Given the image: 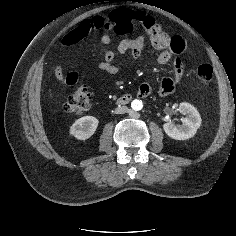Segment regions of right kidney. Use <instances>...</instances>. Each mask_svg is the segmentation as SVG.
Segmentation results:
<instances>
[{
  "label": "right kidney",
  "mask_w": 236,
  "mask_h": 236,
  "mask_svg": "<svg viewBox=\"0 0 236 236\" xmlns=\"http://www.w3.org/2000/svg\"><path fill=\"white\" fill-rule=\"evenodd\" d=\"M98 119L93 116H84L76 120L70 127V134L78 140L90 138L98 127Z\"/></svg>",
  "instance_id": "1"
}]
</instances>
